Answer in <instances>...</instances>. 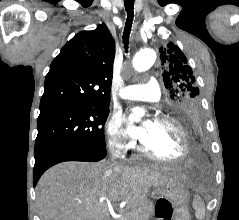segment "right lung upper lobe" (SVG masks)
Returning <instances> with one entry per match:
<instances>
[{
	"mask_svg": "<svg viewBox=\"0 0 239 220\" xmlns=\"http://www.w3.org/2000/svg\"><path fill=\"white\" fill-rule=\"evenodd\" d=\"M115 43L105 24L76 34L53 60L40 112L109 106Z\"/></svg>",
	"mask_w": 239,
	"mask_h": 220,
	"instance_id": "obj_1",
	"label": "right lung upper lobe"
}]
</instances>
